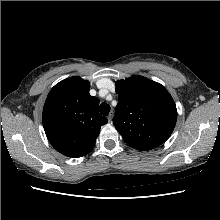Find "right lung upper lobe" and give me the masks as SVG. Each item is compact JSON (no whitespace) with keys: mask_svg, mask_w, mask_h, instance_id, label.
<instances>
[{"mask_svg":"<svg viewBox=\"0 0 220 220\" xmlns=\"http://www.w3.org/2000/svg\"><path fill=\"white\" fill-rule=\"evenodd\" d=\"M90 83L78 76L56 84L44 104L42 121L50 144L68 157H82L95 145L107 118L98 112V98L89 94Z\"/></svg>","mask_w":220,"mask_h":220,"instance_id":"obj_1","label":"right lung upper lobe"}]
</instances>
